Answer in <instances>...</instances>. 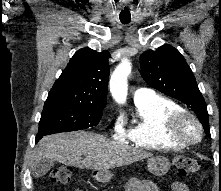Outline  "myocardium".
<instances>
[{
    "label": "myocardium",
    "mask_w": 221,
    "mask_h": 191,
    "mask_svg": "<svg viewBox=\"0 0 221 191\" xmlns=\"http://www.w3.org/2000/svg\"><path fill=\"white\" fill-rule=\"evenodd\" d=\"M189 129L194 132L191 134ZM167 134L173 140L186 144H195L203 137L202 124L198 118L187 110L172 114L167 121Z\"/></svg>",
    "instance_id": "f54148a6"
}]
</instances>
